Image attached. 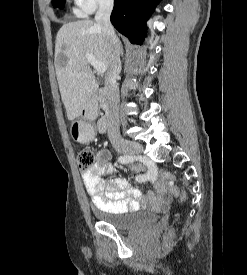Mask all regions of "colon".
I'll use <instances>...</instances> for the list:
<instances>
[{"mask_svg":"<svg viewBox=\"0 0 247 275\" xmlns=\"http://www.w3.org/2000/svg\"><path fill=\"white\" fill-rule=\"evenodd\" d=\"M77 162L80 169L88 170L94 165L95 157L91 150L85 148L78 153ZM159 179L172 195L183 198L184 194L181 193L179 188L174 184V174L170 172H164L160 175Z\"/></svg>","mask_w":247,"mask_h":275,"instance_id":"1","label":"colon"}]
</instances>
